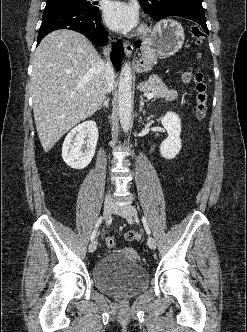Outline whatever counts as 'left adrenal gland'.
I'll use <instances>...</instances> for the list:
<instances>
[{
    "instance_id": "obj_1",
    "label": "left adrenal gland",
    "mask_w": 247,
    "mask_h": 332,
    "mask_svg": "<svg viewBox=\"0 0 247 332\" xmlns=\"http://www.w3.org/2000/svg\"><path fill=\"white\" fill-rule=\"evenodd\" d=\"M145 102H148V100H145L142 96H140V107H139L140 112L143 110V106H144Z\"/></svg>"
}]
</instances>
